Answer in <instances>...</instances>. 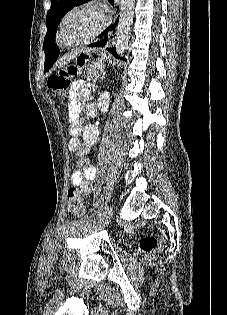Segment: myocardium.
I'll return each mask as SVG.
<instances>
[{"mask_svg":"<svg viewBox=\"0 0 227 315\" xmlns=\"http://www.w3.org/2000/svg\"><path fill=\"white\" fill-rule=\"evenodd\" d=\"M79 11H90L96 14L97 17L99 18V22L97 26L94 28V30H92L89 34L83 36L82 38L76 41L65 43L62 41L65 23L72 14ZM107 22L108 17L103 8L99 4L95 2H83L76 4L70 7L68 10H66L64 14L61 16L56 28L54 42L56 46L59 47L60 49H71L84 45L95 39L105 29Z\"/></svg>","mask_w":227,"mask_h":315,"instance_id":"obj_1","label":"myocardium"}]
</instances>
